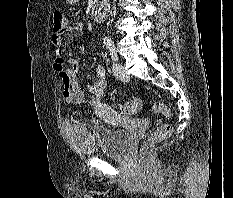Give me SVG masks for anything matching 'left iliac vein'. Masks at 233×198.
<instances>
[{
	"instance_id": "4c4485c4",
	"label": "left iliac vein",
	"mask_w": 233,
	"mask_h": 198,
	"mask_svg": "<svg viewBox=\"0 0 233 198\" xmlns=\"http://www.w3.org/2000/svg\"><path fill=\"white\" fill-rule=\"evenodd\" d=\"M112 70H113L114 76L117 79H119L121 81H127L129 79V76H128L124 66L121 63H119V62L114 63Z\"/></svg>"
}]
</instances>
